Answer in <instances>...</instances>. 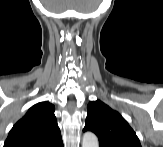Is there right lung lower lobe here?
I'll list each match as a JSON object with an SVG mask.
<instances>
[{"mask_svg": "<svg viewBox=\"0 0 163 147\" xmlns=\"http://www.w3.org/2000/svg\"><path fill=\"white\" fill-rule=\"evenodd\" d=\"M55 147H63V143H61V144H59V145H57Z\"/></svg>", "mask_w": 163, "mask_h": 147, "instance_id": "obj_1", "label": "right lung lower lobe"}]
</instances>
